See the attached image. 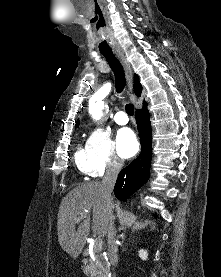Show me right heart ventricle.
<instances>
[{"instance_id": "right-heart-ventricle-1", "label": "right heart ventricle", "mask_w": 221, "mask_h": 277, "mask_svg": "<svg viewBox=\"0 0 221 277\" xmlns=\"http://www.w3.org/2000/svg\"><path fill=\"white\" fill-rule=\"evenodd\" d=\"M75 163L79 171L85 175L91 174V167L88 160L87 147H78L75 153Z\"/></svg>"}]
</instances>
